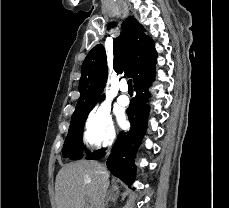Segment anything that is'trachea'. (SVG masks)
Wrapping results in <instances>:
<instances>
[{
  "label": "trachea",
  "instance_id": "1",
  "mask_svg": "<svg viewBox=\"0 0 229 208\" xmlns=\"http://www.w3.org/2000/svg\"><path fill=\"white\" fill-rule=\"evenodd\" d=\"M128 90L129 91H133V83H132V80L130 79V80H128Z\"/></svg>",
  "mask_w": 229,
  "mask_h": 208
}]
</instances>
